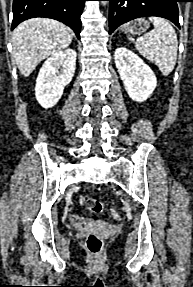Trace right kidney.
<instances>
[{
  "label": "right kidney",
  "instance_id": "obj_1",
  "mask_svg": "<svg viewBox=\"0 0 193 287\" xmlns=\"http://www.w3.org/2000/svg\"><path fill=\"white\" fill-rule=\"evenodd\" d=\"M75 66L76 52L73 49L58 51L44 62L35 87L36 99L43 108L56 105L74 76Z\"/></svg>",
  "mask_w": 193,
  "mask_h": 287
}]
</instances>
